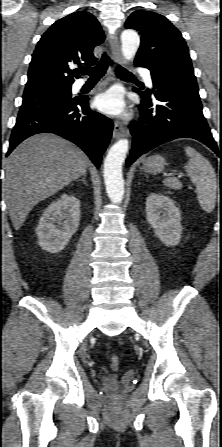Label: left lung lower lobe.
Wrapping results in <instances>:
<instances>
[{
  "label": "left lung lower lobe",
  "instance_id": "obj_1",
  "mask_svg": "<svg viewBox=\"0 0 222 447\" xmlns=\"http://www.w3.org/2000/svg\"><path fill=\"white\" fill-rule=\"evenodd\" d=\"M152 80V98L151 93L135 89L142 97L141 120L130 125L133 144L126 165L158 145L182 137L196 139L222 156L203 116L200 98L166 81Z\"/></svg>",
  "mask_w": 222,
  "mask_h": 447
}]
</instances>
